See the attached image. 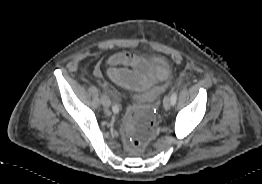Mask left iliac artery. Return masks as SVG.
Here are the masks:
<instances>
[{
	"instance_id": "44dca946",
	"label": "left iliac artery",
	"mask_w": 262,
	"mask_h": 184,
	"mask_svg": "<svg viewBox=\"0 0 262 184\" xmlns=\"http://www.w3.org/2000/svg\"><path fill=\"white\" fill-rule=\"evenodd\" d=\"M176 101H177V92H173L171 95V104L175 105Z\"/></svg>"
}]
</instances>
